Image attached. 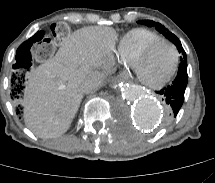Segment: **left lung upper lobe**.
I'll return each mask as SVG.
<instances>
[{
    "label": "left lung upper lobe",
    "mask_w": 215,
    "mask_h": 183,
    "mask_svg": "<svg viewBox=\"0 0 215 183\" xmlns=\"http://www.w3.org/2000/svg\"><path fill=\"white\" fill-rule=\"evenodd\" d=\"M138 23L145 24L147 26H155L157 31L162 33L166 38H168L171 42H173L176 45L179 53L182 54L181 61L186 60V53L181 45V42L173 33L169 32L163 25L151 20H142L138 21Z\"/></svg>",
    "instance_id": "1"
}]
</instances>
